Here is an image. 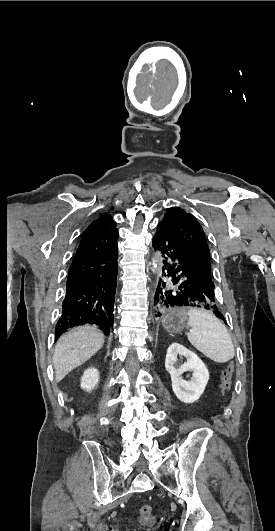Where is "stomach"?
Listing matches in <instances>:
<instances>
[{"label":"stomach","instance_id":"stomach-1","mask_svg":"<svg viewBox=\"0 0 275 531\" xmlns=\"http://www.w3.org/2000/svg\"><path fill=\"white\" fill-rule=\"evenodd\" d=\"M188 321L185 311H171L162 319V325L168 333H181Z\"/></svg>","mask_w":275,"mask_h":531}]
</instances>
